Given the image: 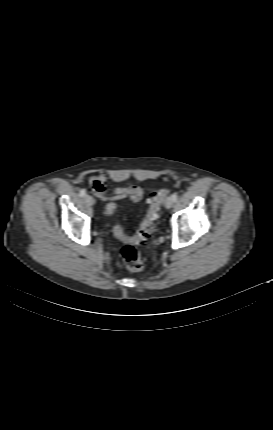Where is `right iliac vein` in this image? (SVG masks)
<instances>
[{"instance_id": "63e3f726", "label": "right iliac vein", "mask_w": 273, "mask_h": 430, "mask_svg": "<svg viewBox=\"0 0 273 430\" xmlns=\"http://www.w3.org/2000/svg\"><path fill=\"white\" fill-rule=\"evenodd\" d=\"M85 200H86L88 205H94L95 204V199L92 196L87 195L85 197Z\"/></svg>"}]
</instances>
